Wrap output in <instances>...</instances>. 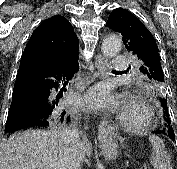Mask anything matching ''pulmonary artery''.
<instances>
[{
	"mask_svg": "<svg viewBox=\"0 0 177 169\" xmlns=\"http://www.w3.org/2000/svg\"><path fill=\"white\" fill-rule=\"evenodd\" d=\"M127 66V60L123 56H116L112 60V67L114 69H122Z\"/></svg>",
	"mask_w": 177,
	"mask_h": 169,
	"instance_id": "pulmonary-artery-1",
	"label": "pulmonary artery"
}]
</instances>
